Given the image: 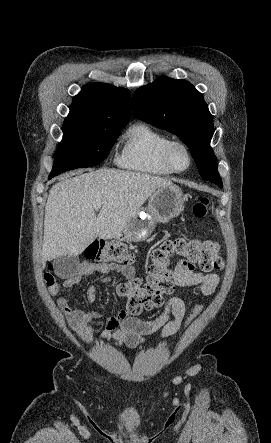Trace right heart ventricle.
I'll use <instances>...</instances> for the list:
<instances>
[{"label":"right heart ventricle","instance_id":"1","mask_svg":"<svg viewBox=\"0 0 271 443\" xmlns=\"http://www.w3.org/2000/svg\"><path fill=\"white\" fill-rule=\"evenodd\" d=\"M171 137L147 122L128 128L122 136L117 156L119 166L138 172L169 176L174 174L163 157V149Z\"/></svg>","mask_w":271,"mask_h":443}]
</instances>
